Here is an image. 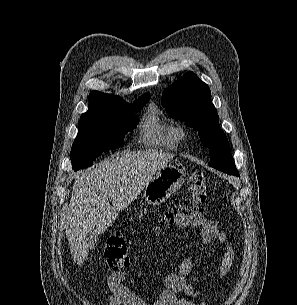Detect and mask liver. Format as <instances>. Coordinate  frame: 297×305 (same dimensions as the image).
<instances>
[{
	"mask_svg": "<svg viewBox=\"0 0 297 305\" xmlns=\"http://www.w3.org/2000/svg\"><path fill=\"white\" fill-rule=\"evenodd\" d=\"M173 154L126 152L83 173L74 183L65 221L72 257L81 266L89 248L85 237L104 233ZM112 201L113 206L109 201Z\"/></svg>",
	"mask_w": 297,
	"mask_h": 305,
	"instance_id": "liver-1",
	"label": "liver"
}]
</instances>
